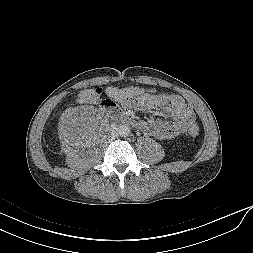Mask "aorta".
I'll list each match as a JSON object with an SVG mask.
<instances>
[{
	"label": "aorta",
	"mask_w": 253,
	"mask_h": 253,
	"mask_svg": "<svg viewBox=\"0 0 253 253\" xmlns=\"http://www.w3.org/2000/svg\"><path fill=\"white\" fill-rule=\"evenodd\" d=\"M116 133L121 137H127L130 134V128L127 125H119L116 128Z\"/></svg>",
	"instance_id": "1"
}]
</instances>
